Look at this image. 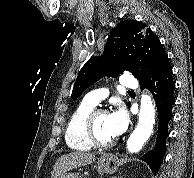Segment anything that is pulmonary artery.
Returning <instances> with one entry per match:
<instances>
[{
  "label": "pulmonary artery",
  "mask_w": 194,
  "mask_h": 178,
  "mask_svg": "<svg viewBox=\"0 0 194 178\" xmlns=\"http://www.w3.org/2000/svg\"><path fill=\"white\" fill-rule=\"evenodd\" d=\"M121 86L129 89H136L138 87L137 80L132 75H124L121 81ZM107 90L98 89L87 94L85 100L93 105H98L107 95Z\"/></svg>",
  "instance_id": "e3ab8cb5"
}]
</instances>
